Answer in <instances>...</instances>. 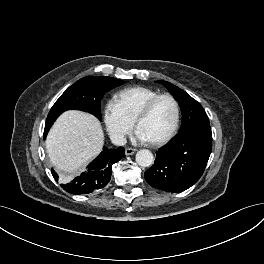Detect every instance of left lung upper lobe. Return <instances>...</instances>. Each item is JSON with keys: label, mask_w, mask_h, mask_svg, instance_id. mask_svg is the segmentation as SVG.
Wrapping results in <instances>:
<instances>
[{"label": "left lung upper lobe", "mask_w": 264, "mask_h": 264, "mask_svg": "<svg viewBox=\"0 0 264 264\" xmlns=\"http://www.w3.org/2000/svg\"><path fill=\"white\" fill-rule=\"evenodd\" d=\"M174 96L182 111V126L178 135H185L199 127L210 126L203 107L184 90L167 81H158Z\"/></svg>", "instance_id": "obj_1"}]
</instances>
